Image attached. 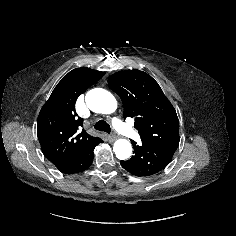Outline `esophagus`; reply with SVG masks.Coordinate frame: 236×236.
I'll list each match as a JSON object with an SVG mask.
<instances>
[{
    "label": "esophagus",
    "mask_w": 236,
    "mask_h": 236,
    "mask_svg": "<svg viewBox=\"0 0 236 236\" xmlns=\"http://www.w3.org/2000/svg\"><path fill=\"white\" fill-rule=\"evenodd\" d=\"M109 139H110V141H114L116 139V136L112 134L109 136Z\"/></svg>",
    "instance_id": "34e87169"
}]
</instances>
